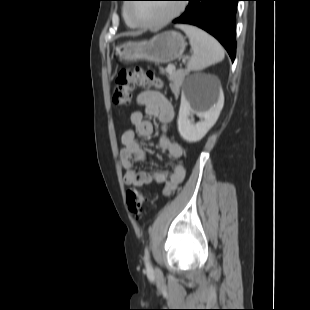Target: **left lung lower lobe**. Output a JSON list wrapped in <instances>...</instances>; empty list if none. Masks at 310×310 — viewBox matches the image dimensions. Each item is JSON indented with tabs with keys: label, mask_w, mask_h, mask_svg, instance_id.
I'll use <instances>...</instances> for the list:
<instances>
[{
	"label": "left lung lower lobe",
	"mask_w": 310,
	"mask_h": 310,
	"mask_svg": "<svg viewBox=\"0 0 310 310\" xmlns=\"http://www.w3.org/2000/svg\"><path fill=\"white\" fill-rule=\"evenodd\" d=\"M184 14L175 24L197 26L214 36L227 50L232 61L236 56L235 22L237 3L241 0H186Z\"/></svg>",
	"instance_id": "1"
}]
</instances>
